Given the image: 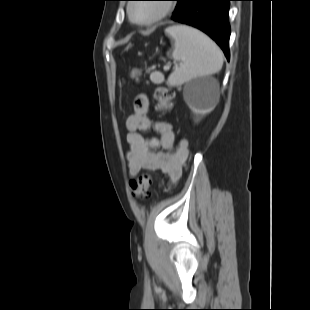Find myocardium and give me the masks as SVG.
I'll list each match as a JSON object with an SVG mask.
<instances>
[{"mask_svg":"<svg viewBox=\"0 0 310 310\" xmlns=\"http://www.w3.org/2000/svg\"><path fill=\"white\" fill-rule=\"evenodd\" d=\"M135 5L136 4H130L127 8V13L130 21L139 26H150L156 24L161 20H163L165 17H167L169 13L172 11V7L168 2H162L160 3V10L155 16L146 20H137L133 16V7Z\"/></svg>","mask_w":310,"mask_h":310,"instance_id":"obj_1","label":"myocardium"}]
</instances>
